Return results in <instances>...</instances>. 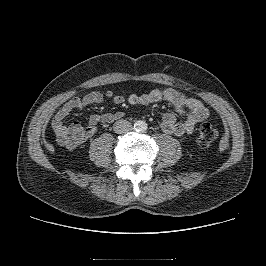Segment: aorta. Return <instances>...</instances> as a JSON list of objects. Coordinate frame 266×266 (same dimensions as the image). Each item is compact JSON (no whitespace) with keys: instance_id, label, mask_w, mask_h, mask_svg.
Segmentation results:
<instances>
[{"instance_id":"762f6f07","label":"aorta","mask_w":266,"mask_h":266,"mask_svg":"<svg viewBox=\"0 0 266 266\" xmlns=\"http://www.w3.org/2000/svg\"><path fill=\"white\" fill-rule=\"evenodd\" d=\"M147 128V124L145 121H137L135 123V129L138 131H144Z\"/></svg>"}]
</instances>
